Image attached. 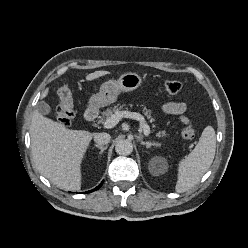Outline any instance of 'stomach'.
I'll return each instance as SVG.
<instances>
[{"label": "stomach", "instance_id": "0dacf381", "mask_svg": "<svg viewBox=\"0 0 248 248\" xmlns=\"http://www.w3.org/2000/svg\"><path fill=\"white\" fill-rule=\"evenodd\" d=\"M143 83V78L133 72L122 74L117 80L110 79L100 86L98 93L92 95L89 106L93 109L108 106L116 102L121 92H129L137 89Z\"/></svg>", "mask_w": 248, "mask_h": 248}]
</instances>
